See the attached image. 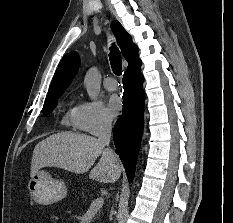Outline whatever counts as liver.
Returning a JSON list of instances; mask_svg holds the SVG:
<instances>
[{
  "mask_svg": "<svg viewBox=\"0 0 233 223\" xmlns=\"http://www.w3.org/2000/svg\"><path fill=\"white\" fill-rule=\"evenodd\" d=\"M98 157L99 161L94 165ZM41 167H61L72 173L89 171V179L103 183H115L121 175L119 159L111 149H106L97 137L71 131L53 133L35 145L31 177Z\"/></svg>",
  "mask_w": 233,
  "mask_h": 223,
  "instance_id": "obj_1",
  "label": "liver"
}]
</instances>
